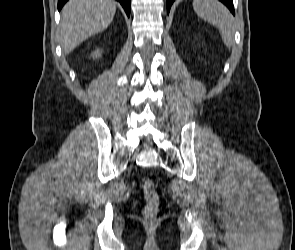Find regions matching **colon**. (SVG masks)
<instances>
[{
	"label": "colon",
	"mask_w": 295,
	"mask_h": 250,
	"mask_svg": "<svg viewBox=\"0 0 295 250\" xmlns=\"http://www.w3.org/2000/svg\"><path fill=\"white\" fill-rule=\"evenodd\" d=\"M143 191L146 199L144 217L147 220H154L159 210V196L153 180L146 179L144 181Z\"/></svg>",
	"instance_id": "colon-1"
}]
</instances>
